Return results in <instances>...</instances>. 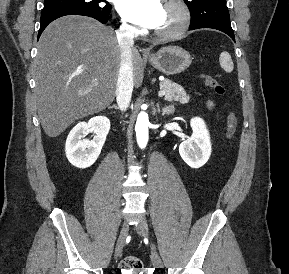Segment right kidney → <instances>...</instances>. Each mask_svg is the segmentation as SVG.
Listing matches in <instances>:
<instances>
[{
	"instance_id": "ca27d5eb",
	"label": "right kidney",
	"mask_w": 289,
	"mask_h": 274,
	"mask_svg": "<svg viewBox=\"0 0 289 274\" xmlns=\"http://www.w3.org/2000/svg\"><path fill=\"white\" fill-rule=\"evenodd\" d=\"M110 130V120L105 116H95L88 122H79L69 133L65 152L69 162L77 168H88L95 163L101 153ZM93 132L92 140H82L85 134Z\"/></svg>"
}]
</instances>
